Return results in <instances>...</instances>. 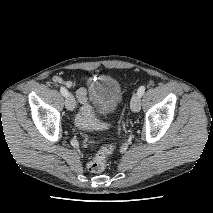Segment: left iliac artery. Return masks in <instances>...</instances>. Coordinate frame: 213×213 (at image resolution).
I'll list each match as a JSON object with an SVG mask.
<instances>
[{"mask_svg":"<svg viewBox=\"0 0 213 213\" xmlns=\"http://www.w3.org/2000/svg\"><path fill=\"white\" fill-rule=\"evenodd\" d=\"M145 89H146L145 86L139 87V89H138V95L142 96L144 94V92H145Z\"/></svg>","mask_w":213,"mask_h":213,"instance_id":"left-iliac-artery-1","label":"left iliac artery"}]
</instances>
